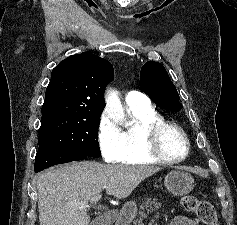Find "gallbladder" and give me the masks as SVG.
I'll list each match as a JSON object with an SVG mask.
<instances>
[{
  "mask_svg": "<svg viewBox=\"0 0 237 225\" xmlns=\"http://www.w3.org/2000/svg\"><path fill=\"white\" fill-rule=\"evenodd\" d=\"M113 222L112 220H106L105 217H100L99 219L92 222L91 225H111Z\"/></svg>",
  "mask_w": 237,
  "mask_h": 225,
  "instance_id": "1",
  "label": "gallbladder"
}]
</instances>
